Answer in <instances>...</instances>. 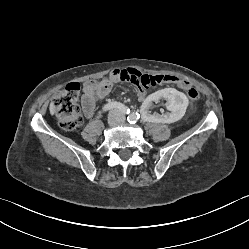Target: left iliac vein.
<instances>
[{"instance_id":"4c4485c4","label":"left iliac vein","mask_w":249,"mask_h":249,"mask_svg":"<svg viewBox=\"0 0 249 249\" xmlns=\"http://www.w3.org/2000/svg\"><path fill=\"white\" fill-rule=\"evenodd\" d=\"M125 120V117L121 116L120 122H123Z\"/></svg>"}]
</instances>
